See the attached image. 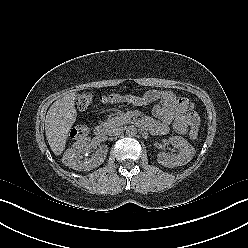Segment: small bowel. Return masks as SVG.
<instances>
[{
	"instance_id": "obj_1",
	"label": "small bowel",
	"mask_w": 248,
	"mask_h": 248,
	"mask_svg": "<svg viewBox=\"0 0 248 248\" xmlns=\"http://www.w3.org/2000/svg\"><path fill=\"white\" fill-rule=\"evenodd\" d=\"M126 102L136 106L158 102L152 110L158 121L149 117L141 120V123L155 134L167 133L171 122H173L174 130L179 134H186L189 127L199 125V117L193 104L168 90H149L142 96H129Z\"/></svg>"
}]
</instances>
